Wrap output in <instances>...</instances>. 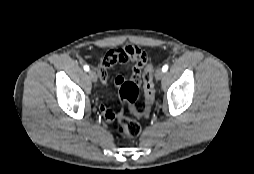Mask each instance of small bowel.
<instances>
[{"label": "small bowel", "mask_w": 254, "mask_h": 174, "mask_svg": "<svg viewBox=\"0 0 254 174\" xmlns=\"http://www.w3.org/2000/svg\"><path fill=\"white\" fill-rule=\"evenodd\" d=\"M148 60L144 50L137 46H125L123 48L107 52L100 60L98 72L102 83H106L108 79V71L115 64L132 63L131 80L140 83L141 71ZM116 86L120 87L124 82L123 76H117L114 80ZM99 110L103 117L111 121L114 118V112L107 108L104 104H100Z\"/></svg>", "instance_id": "obj_1"}]
</instances>
